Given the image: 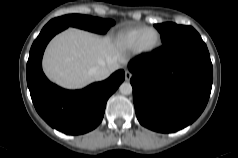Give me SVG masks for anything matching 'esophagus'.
Masks as SVG:
<instances>
[{"mask_svg": "<svg viewBox=\"0 0 238 158\" xmlns=\"http://www.w3.org/2000/svg\"><path fill=\"white\" fill-rule=\"evenodd\" d=\"M132 77V73L128 70L125 71V80L129 81Z\"/></svg>", "mask_w": 238, "mask_h": 158, "instance_id": "34e87169", "label": "esophagus"}]
</instances>
